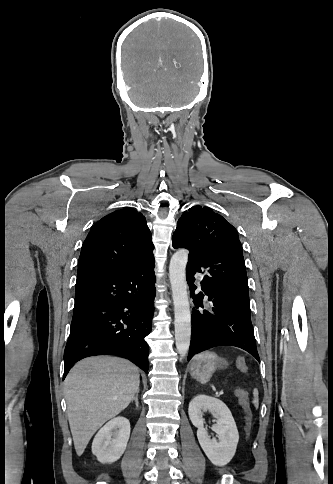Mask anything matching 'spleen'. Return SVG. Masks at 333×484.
I'll return each mask as SVG.
<instances>
[{"mask_svg": "<svg viewBox=\"0 0 333 484\" xmlns=\"http://www.w3.org/2000/svg\"><path fill=\"white\" fill-rule=\"evenodd\" d=\"M253 396H254V398H253L252 403L257 408L258 407V404H259V401H258V390L257 389H254L253 390Z\"/></svg>", "mask_w": 333, "mask_h": 484, "instance_id": "1", "label": "spleen"}]
</instances>
